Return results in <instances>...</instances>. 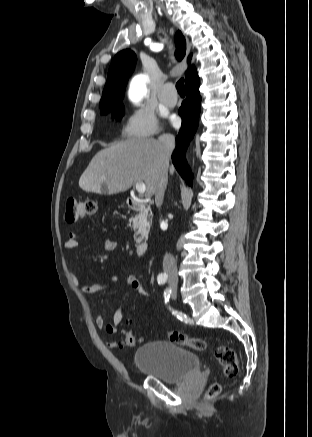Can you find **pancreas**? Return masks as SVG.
Masks as SVG:
<instances>
[{"label": "pancreas", "mask_w": 312, "mask_h": 437, "mask_svg": "<svg viewBox=\"0 0 312 437\" xmlns=\"http://www.w3.org/2000/svg\"><path fill=\"white\" fill-rule=\"evenodd\" d=\"M132 222V230L135 232L134 239L137 242L142 241L144 238H147L150 222L147 220V213L145 212L143 215H138L131 219Z\"/></svg>", "instance_id": "cf45deb5"}]
</instances>
